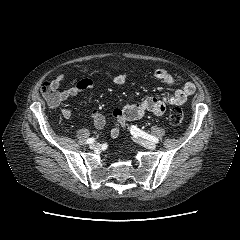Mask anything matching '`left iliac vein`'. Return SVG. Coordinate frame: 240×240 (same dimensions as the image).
Returning a JSON list of instances; mask_svg holds the SVG:
<instances>
[{"instance_id": "1", "label": "left iliac vein", "mask_w": 240, "mask_h": 240, "mask_svg": "<svg viewBox=\"0 0 240 240\" xmlns=\"http://www.w3.org/2000/svg\"><path fill=\"white\" fill-rule=\"evenodd\" d=\"M135 139L138 143H140L142 146L148 148V149H155L156 144L152 141L145 140L143 138H140L138 136H135Z\"/></svg>"}]
</instances>
